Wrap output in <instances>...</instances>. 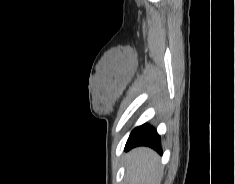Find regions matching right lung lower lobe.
I'll return each instance as SVG.
<instances>
[{"label": "right lung lower lobe", "instance_id": "1", "mask_svg": "<svg viewBox=\"0 0 235 184\" xmlns=\"http://www.w3.org/2000/svg\"><path fill=\"white\" fill-rule=\"evenodd\" d=\"M137 146H148L162 154L160 136L156 129L148 124L136 127L130 134L125 146V151Z\"/></svg>", "mask_w": 235, "mask_h": 184}]
</instances>
